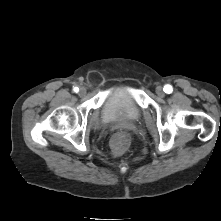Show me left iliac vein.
Returning <instances> with one entry per match:
<instances>
[{
    "mask_svg": "<svg viewBox=\"0 0 221 221\" xmlns=\"http://www.w3.org/2000/svg\"><path fill=\"white\" fill-rule=\"evenodd\" d=\"M156 94H157L159 97H164V96H165V93H164L163 87L158 86V87L156 88Z\"/></svg>",
    "mask_w": 221,
    "mask_h": 221,
    "instance_id": "1",
    "label": "left iliac vein"
}]
</instances>
